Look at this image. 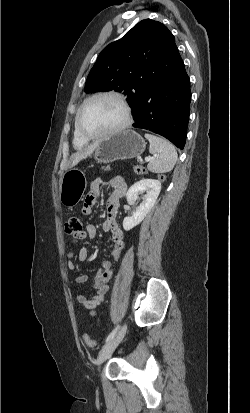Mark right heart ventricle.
<instances>
[{"instance_id":"obj_1","label":"right heart ventricle","mask_w":250,"mask_h":413,"mask_svg":"<svg viewBox=\"0 0 250 413\" xmlns=\"http://www.w3.org/2000/svg\"><path fill=\"white\" fill-rule=\"evenodd\" d=\"M88 143V140L83 139L77 132L76 130V126L74 128V132H73V145L75 148H82L84 147L86 144Z\"/></svg>"}]
</instances>
